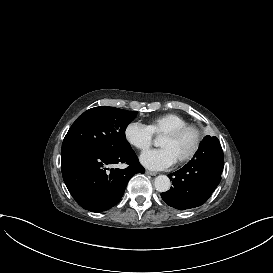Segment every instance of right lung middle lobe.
Wrapping results in <instances>:
<instances>
[{"label": "right lung middle lobe", "instance_id": "right-lung-middle-lobe-1", "mask_svg": "<svg viewBox=\"0 0 273 273\" xmlns=\"http://www.w3.org/2000/svg\"><path fill=\"white\" fill-rule=\"evenodd\" d=\"M136 111L102 106L85 111L66 134L61 154L75 149L90 148L113 153L131 149L125 129L135 118Z\"/></svg>", "mask_w": 273, "mask_h": 273}]
</instances>
